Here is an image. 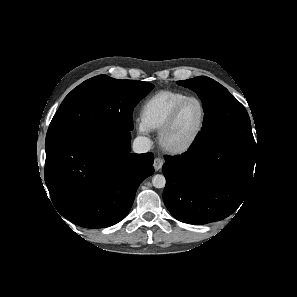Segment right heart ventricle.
<instances>
[{"label": "right heart ventricle", "instance_id": "obj_1", "mask_svg": "<svg viewBox=\"0 0 297 297\" xmlns=\"http://www.w3.org/2000/svg\"><path fill=\"white\" fill-rule=\"evenodd\" d=\"M188 97L175 90H162L153 94L140 109V122L147 130H159L173 109Z\"/></svg>", "mask_w": 297, "mask_h": 297}]
</instances>
